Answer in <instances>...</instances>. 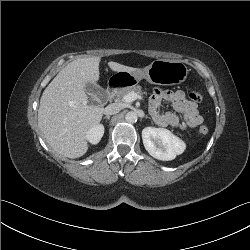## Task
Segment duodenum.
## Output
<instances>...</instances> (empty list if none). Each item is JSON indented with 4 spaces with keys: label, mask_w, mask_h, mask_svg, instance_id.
<instances>
[{
    "label": "duodenum",
    "mask_w": 250,
    "mask_h": 250,
    "mask_svg": "<svg viewBox=\"0 0 250 250\" xmlns=\"http://www.w3.org/2000/svg\"><path fill=\"white\" fill-rule=\"evenodd\" d=\"M120 84H121L120 80L110 81V83L108 84L106 88V97L108 100H110L113 97L116 88L119 87Z\"/></svg>",
    "instance_id": "1"
}]
</instances>
